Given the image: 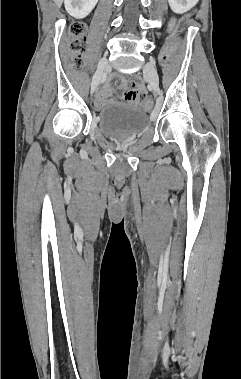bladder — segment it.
Returning <instances> with one entry per match:
<instances>
[{
	"label": "bladder",
	"mask_w": 241,
	"mask_h": 379,
	"mask_svg": "<svg viewBox=\"0 0 241 379\" xmlns=\"http://www.w3.org/2000/svg\"><path fill=\"white\" fill-rule=\"evenodd\" d=\"M100 132L113 140H129L139 136L149 126L147 113L137 106L112 105L96 117Z\"/></svg>",
	"instance_id": "31cf9c89"
}]
</instances>
